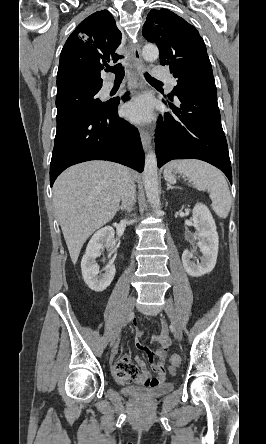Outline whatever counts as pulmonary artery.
Instances as JSON below:
<instances>
[{"instance_id":"e3ab8cb5","label":"pulmonary artery","mask_w":266,"mask_h":444,"mask_svg":"<svg viewBox=\"0 0 266 444\" xmlns=\"http://www.w3.org/2000/svg\"><path fill=\"white\" fill-rule=\"evenodd\" d=\"M152 75L156 79L168 82L171 88H173L176 85V80L170 77L169 73L166 71L164 66H154L152 69ZM112 88L113 85L111 83L107 84L106 86L107 91H110Z\"/></svg>"}]
</instances>
